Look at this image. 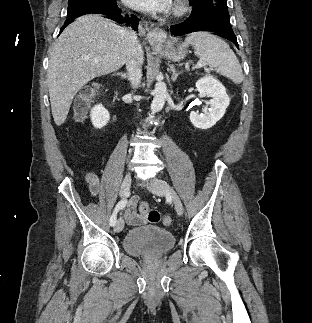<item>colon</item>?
Wrapping results in <instances>:
<instances>
[{
  "label": "colon",
  "mask_w": 312,
  "mask_h": 323,
  "mask_svg": "<svg viewBox=\"0 0 312 323\" xmlns=\"http://www.w3.org/2000/svg\"><path fill=\"white\" fill-rule=\"evenodd\" d=\"M138 210L141 213H146L148 216V221L150 223H160L158 218V215H161L160 212L154 208H151L150 205L147 202H141L138 206ZM166 219L163 220V225L166 227H169L172 223V220L170 217H165ZM165 221V222H164Z\"/></svg>",
  "instance_id": "colon-1"
}]
</instances>
